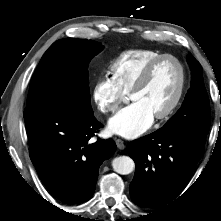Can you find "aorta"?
<instances>
[{"label": "aorta", "instance_id": "aorta-1", "mask_svg": "<svg viewBox=\"0 0 221 221\" xmlns=\"http://www.w3.org/2000/svg\"><path fill=\"white\" fill-rule=\"evenodd\" d=\"M112 167L115 172L127 175L134 170L135 163L129 156H119L112 160Z\"/></svg>", "mask_w": 221, "mask_h": 221}]
</instances>
